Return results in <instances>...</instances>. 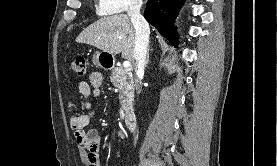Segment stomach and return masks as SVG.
Segmentation results:
<instances>
[{"label": "stomach", "instance_id": "0dacf381", "mask_svg": "<svg viewBox=\"0 0 277 166\" xmlns=\"http://www.w3.org/2000/svg\"><path fill=\"white\" fill-rule=\"evenodd\" d=\"M93 63L100 68H110L114 63V56L104 51H97L93 55Z\"/></svg>", "mask_w": 277, "mask_h": 166}]
</instances>
